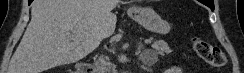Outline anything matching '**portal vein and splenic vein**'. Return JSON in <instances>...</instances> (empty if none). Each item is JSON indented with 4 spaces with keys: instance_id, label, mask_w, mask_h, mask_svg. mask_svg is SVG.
Segmentation results:
<instances>
[{
    "instance_id": "obj_1",
    "label": "portal vein and splenic vein",
    "mask_w": 244,
    "mask_h": 73,
    "mask_svg": "<svg viewBox=\"0 0 244 73\" xmlns=\"http://www.w3.org/2000/svg\"><path fill=\"white\" fill-rule=\"evenodd\" d=\"M74 37H75V38H77V39L82 38V37H81V36H79V35H75ZM151 42H152V41H151V40H149V39H146V40H145V43H146V44H150Z\"/></svg>"
}]
</instances>
